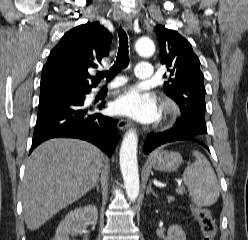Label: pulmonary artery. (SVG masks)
<instances>
[{
	"mask_svg": "<svg viewBox=\"0 0 248 240\" xmlns=\"http://www.w3.org/2000/svg\"><path fill=\"white\" fill-rule=\"evenodd\" d=\"M135 76L139 80H151L153 78V68L148 62H139L136 65ZM125 82L124 77H116L109 85L110 88L118 87Z\"/></svg>",
	"mask_w": 248,
	"mask_h": 240,
	"instance_id": "e3ab8cb5",
	"label": "pulmonary artery"
}]
</instances>
